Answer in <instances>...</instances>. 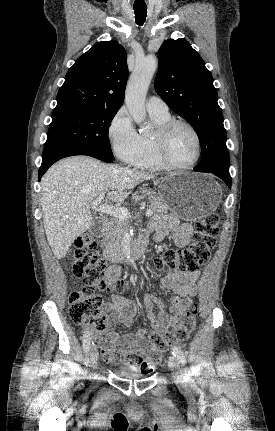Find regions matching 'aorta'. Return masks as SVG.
I'll return each mask as SVG.
<instances>
[{"label":"aorta","mask_w":275,"mask_h":431,"mask_svg":"<svg viewBox=\"0 0 275 431\" xmlns=\"http://www.w3.org/2000/svg\"><path fill=\"white\" fill-rule=\"evenodd\" d=\"M158 61L155 56L149 55L138 61L128 81L125 92L126 107L133 120L147 133L150 124L146 121L145 98L151 79L157 69ZM133 229L127 230L122 238L121 249L127 262H133L131 258V244Z\"/></svg>","instance_id":"1"}]
</instances>
